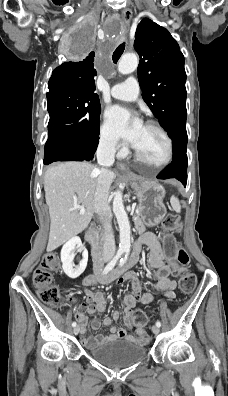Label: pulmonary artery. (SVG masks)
Masks as SVG:
<instances>
[{"mask_svg":"<svg viewBox=\"0 0 228 396\" xmlns=\"http://www.w3.org/2000/svg\"><path fill=\"white\" fill-rule=\"evenodd\" d=\"M139 93L140 86L135 77H129L123 83L115 84L111 88L112 97L124 101L137 100Z\"/></svg>","mask_w":228,"mask_h":396,"instance_id":"pulmonary-artery-1","label":"pulmonary artery"}]
</instances>
